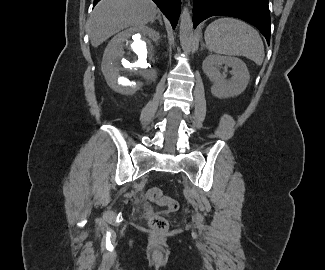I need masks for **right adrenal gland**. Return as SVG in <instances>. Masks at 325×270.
Segmentation results:
<instances>
[{"label": "right adrenal gland", "mask_w": 325, "mask_h": 270, "mask_svg": "<svg viewBox=\"0 0 325 270\" xmlns=\"http://www.w3.org/2000/svg\"><path fill=\"white\" fill-rule=\"evenodd\" d=\"M155 20H159L160 24L163 25V22H162V19H161V16L160 15H157V17L155 19H153L151 21V23H153Z\"/></svg>", "instance_id": "right-adrenal-gland-1"}]
</instances>
